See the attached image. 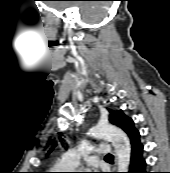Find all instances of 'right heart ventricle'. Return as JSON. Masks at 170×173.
<instances>
[{"mask_svg":"<svg viewBox=\"0 0 170 173\" xmlns=\"http://www.w3.org/2000/svg\"><path fill=\"white\" fill-rule=\"evenodd\" d=\"M57 168L60 169H67L69 167H67V160H66V156L61 157L58 162H57Z\"/></svg>","mask_w":170,"mask_h":173,"instance_id":"obj_1","label":"right heart ventricle"}]
</instances>
